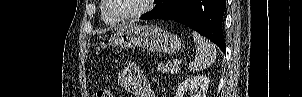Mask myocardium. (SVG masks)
Returning a JSON list of instances; mask_svg holds the SVG:
<instances>
[{"label":"myocardium","instance_id":"obj_1","mask_svg":"<svg viewBox=\"0 0 302 97\" xmlns=\"http://www.w3.org/2000/svg\"><path fill=\"white\" fill-rule=\"evenodd\" d=\"M104 2L106 4L108 13L114 19H116L118 21H128V20L138 18V17L146 14L148 11H150L154 0H144V6L141 9H139L138 11H136L134 13L128 14V15H119L118 13H116L113 9L112 0H104Z\"/></svg>","mask_w":302,"mask_h":97}]
</instances>
